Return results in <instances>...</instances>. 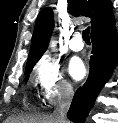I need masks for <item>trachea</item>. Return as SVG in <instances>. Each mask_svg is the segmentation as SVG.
Returning a JSON list of instances; mask_svg holds the SVG:
<instances>
[{"instance_id":"obj_1","label":"trachea","mask_w":118,"mask_h":123,"mask_svg":"<svg viewBox=\"0 0 118 123\" xmlns=\"http://www.w3.org/2000/svg\"><path fill=\"white\" fill-rule=\"evenodd\" d=\"M89 33H90V28L89 27L82 32V38L85 42H90Z\"/></svg>"}]
</instances>
